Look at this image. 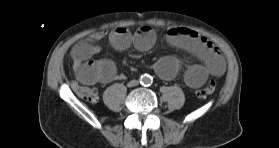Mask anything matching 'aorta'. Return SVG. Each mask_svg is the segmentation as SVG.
<instances>
[{"mask_svg": "<svg viewBox=\"0 0 279 148\" xmlns=\"http://www.w3.org/2000/svg\"><path fill=\"white\" fill-rule=\"evenodd\" d=\"M142 83L143 84H150L151 83V78L149 76H144L142 77Z\"/></svg>", "mask_w": 279, "mask_h": 148, "instance_id": "obj_1", "label": "aorta"}]
</instances>
